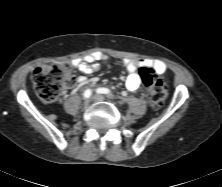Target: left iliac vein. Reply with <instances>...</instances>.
<instances>
[{"instance_id":"obj_1","label":"left iliac vein","mask_w":222,"mask_h":187,"mask_svg":"<svg viewBox=\"0 0 222 187\" xmlns=\"http://www.w3.org/2000/svg\"><path fill=\"white\" fill-rule=\"evenodd\" d=\"M95 100L97 101H103L104 100V96L103 95H100V94H97L93 97Z\"/></svg>"}]
</instances>
